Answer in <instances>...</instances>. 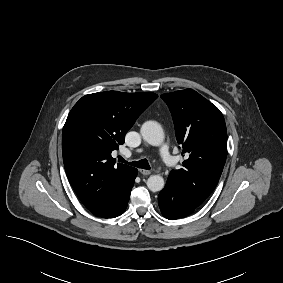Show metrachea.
<instances>
[{"mask_svg":"<svg viewBox=\"0 0 283 283\" xmlns=\"http://www.w3.org/2000/svg\"><path fill=\"white\" fill-rule=\"evenodd\" d=\"M119 161L123 162V163H128L126 160H124L122 157H119ZM129 165L131 166H135V167H138V168H143V169H147L149 170L150 169V165L148 163V161L146 159H142V160H139V161H133V162H129L128 163Z\"/></svg>","mask_w":283,"mask_h":283,"instance_id":"trachea-1","label":"trachea"}]
</instances>
